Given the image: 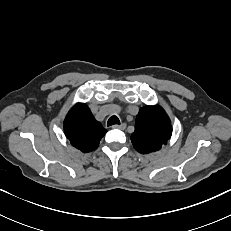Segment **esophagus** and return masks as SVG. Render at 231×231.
Returning a JSON list of instances; mask_svg holds the SVG:
<instances>
[{
  "label": "esophagus",
  "mask_w": 231,
  "mask_h": 231,
  "mask_svg": "<svg viewBox=\"0 0 231 231\" xmlns=\"http://www.w3.org/2000/svg\"><path fill=\"white\" fill-rule=\"evenodd\" d=\"M112 128H118V129L124 130L126 128V124L122 123L120 125H113Z\"/></svg>",
  "instance_id": "esophagus-1"
}]
</instances>
